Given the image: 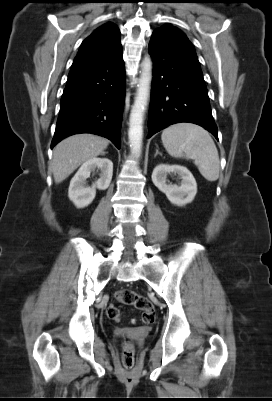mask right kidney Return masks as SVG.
<instances>
[{
    "mask_svg": "<svg viewBox=\"0 0 272 401\" xmlns=\"http://www.w3.org/2000/svg\"><path fill=\"white\" fill-rule=\"evenodd\" d=\"M100 170V178L92 185L85 186L86 179L90 177L91 172ZM113 163L108 158H93L79 168L72 178L68 190V197L77 208L88 206L96 196V188L106 190L112 180Z\"/></svg>",
    "mask_w": 272,
    "mask_h": 401,
    "instance_id": "obj_1",
    "label": "right kidney"
}]
</instances>
